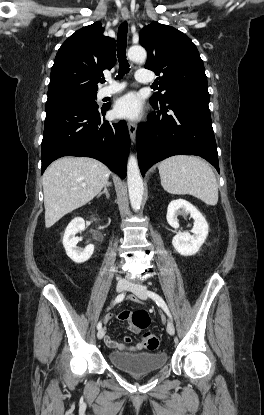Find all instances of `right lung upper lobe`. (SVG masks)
<instances>
[{"label":"right lung upper lobe","mask_w":264,"mask_h":415,"mask_svg":"<svg viewBox=\"0 0 264 415\" xmlns=\"http://www.w3.org/2000/svg\"><path fill=\"white\" fill-rule=\"evenodd\" d=\"M116 62L115 40L100 22L79 29L59 48L51 70L48 99L66 94H97L104 69Z\"/></svg>","instance_id":"1"}]
</instances>
